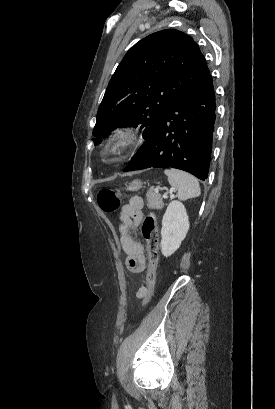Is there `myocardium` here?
<instances>
[{
	"instance_id": "myocardium-1",
	"label": "myocardium",
	"mask_w": 275,
	"mask_h": 409,
	"mask_svg": "<svg viewBox=\"0 0 275 409\" xmlns=\"http://www.w3.org/2000/svg\"><path fill=\"white\" fill-rule=\"evenodd\" d=\"M136 141V134L131 129H121L117 131L114 137L106 145L105 152L108 155L120 153L126 147L132 145Z\"/></svg>"
}]
</instances>
